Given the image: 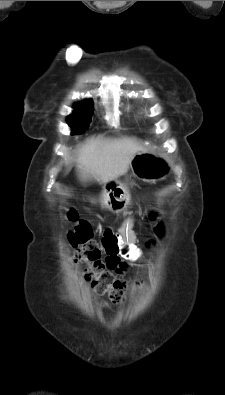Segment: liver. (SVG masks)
I'll return each instance as SVG.
<instances>
[{"label": "liver", "instance_id": "6515ba94", "mask_svg": "<svg viewBox=\"0 0 225 395\" xmlns=\"http://www.w3.org/2000/svg\"><path fill=\"white\" fill-rule=\"evenodd\" d=\"M143 147L129 138L89 140L76 159L79 177L83 181L96 180L106 184L127 173L133 157Z\"/></svg>", "mask_w": 225, "mask_h": 395}]
</instances>
